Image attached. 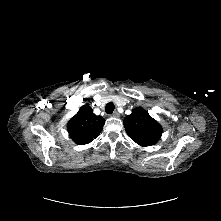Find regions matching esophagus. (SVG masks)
<instances>
[{
  "instance_id": "obj_1",
  "label": "esophagus",
  "mask_w": 221,
  "mask_h": 221,
  "mask_svg": "<svg viewBox=\"0 0 221 221\" xmlns=\"http://www.w3.org/2000/svg\"><path fill=\"white\" fill-rule=\"evenodd\" d=\"M110 116L111 117H119V113L117 111H115Z\"/></svg>"
}]
</instances>
